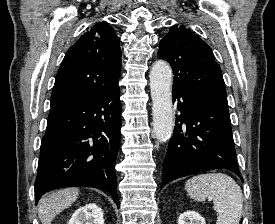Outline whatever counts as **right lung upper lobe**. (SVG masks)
<instances>
[{"mask_svg":"<svg viewBox=\"0 0 275 224\" xmlns=\"http://www.w3.org/2000/svg\"><path fill=\"white\" fill-rule=\"evenodd\" d=\"M119 38L108 23H97L70 47L58 70L51 106L83 101L118 87Z\"/></svg>","mask_w":275,"mask_h":224,"instance_id":"cb5924a9","label":"right lung upper lobe"}]
</instances>
